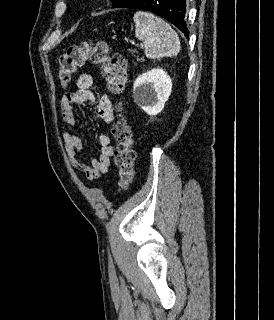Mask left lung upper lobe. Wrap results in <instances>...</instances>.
Here are the masks:
<instances>
[{"mask_svg":"<svg viewBox=\"0 0 274 320\" xmlns=\"http://www.w3.org/2000/svg\"><path fill=\"white\" fill-rule=\"evenodd\" d=\"M129 0H113V8H122Z\"/></svg>","mask_w":274,"mask_h":320,"instance_id":"left-lung-upper-lobe-1","label":"left lung upper lobe"}]
</instances>
